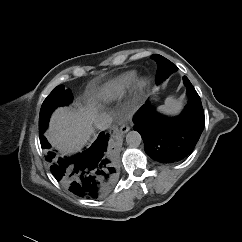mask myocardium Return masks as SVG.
<instances>
[{
	"mask_svg": "<svg viewBox=\"0 0 242 242\" xmlns=\"http://www.w3.org/2000/svg\"><path fill=\"white\" fill-rule=\"evenodd\" d=\"M146 85V79L145 78H140L136 81V89L137 91H141L143 90V88L145 87Z\"/></svg>",
	"mask_w": 242,
	"mask_h": 242,
	"instance_id": "obj_1",
	"label": "myocardium"
}]
</instances>
